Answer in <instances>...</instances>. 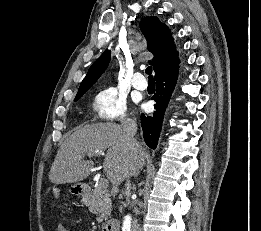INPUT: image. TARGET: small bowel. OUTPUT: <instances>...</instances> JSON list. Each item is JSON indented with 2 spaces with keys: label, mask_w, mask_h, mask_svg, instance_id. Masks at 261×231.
<instances>
[{
  "label": "small bowel",
  "mask_w": 261,
  "mask_h": 231,
  "mask_svg": "<svg viewBox=\"0 0 261 231\" xmlns=\"http://www.w3.org/2000/svg\"><path fill=\"white\" fill-rule=\"evenodd\" d=\"M57 231H70L65 225L59 223L57 225Z\"/></svg>",
  "instance_id": "obj_1"
}]
</instances>
